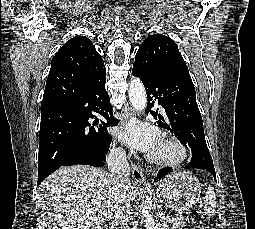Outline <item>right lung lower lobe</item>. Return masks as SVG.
<instances>
[{
  "mask_svg": "<svg viewBox=\"0 0 255 229\" xmlns=\"http://www.w3.org/2000/svg\"><path fill=\"white\" fill-rule=\"evenodd\" d=\"M106 72L100 71L87 83L86 87L76 98L67 103H62L41 110V123L65 115L76 116L81 123L70 147L60 163L46 167L38 164V184L48 175L62 166L86 164L94 167L103 166L106 153L112 142V137L107 131L108 126H116L118 121L112 117V105L105 89ZM102 119L90 124V118Z\"/></svg>",
  "mask_w": 255,
  "mask_h": 229,
  "instance_id": "1",
  "label": "right lung lower lobe"
}]
</instances>
